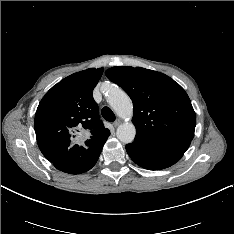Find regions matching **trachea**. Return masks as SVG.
I'll list each match as a JSON object with an SVG mask.
<instances>
[{
	"mask_svg": "<svg viewBox=\"0 0 234 234\" xmlns=\"http://www.w3.org/2000/svg\"><path fill=\"white\" fill-rule=\"evenodd\" d=\"M103 118L109 122H113L115 120V114L109 107H104L101 111Z\"/></svg>",
	"mask_w": 234,
	"mask_h": 234,
	"instance_id": "trachea-1",
	"label": "trachea"
}]
</instances>
